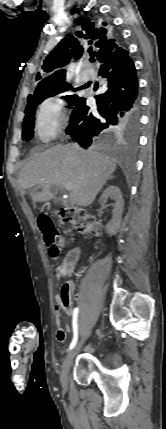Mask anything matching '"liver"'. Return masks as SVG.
Returning <instances> with one entry per match:
<instances>
[{
  "mask_svg": "<svg viewBox=\"0 0 166 429\" xmlns=\"http://www.w3.org/2000/svg\"><path fill=\"white\" fill-rule=\"evenodd\" d=\"M115 170L114 159L105 154L57 145L35 154L24 164L18 187L21 193L34 186L41 187V192H30V196L33 202H45L54 197L53 185L70 182V203L86 207L95 200Z\"/></svg>",
  "mask_w": 166,
  "mask_h": 429,
  "instance_id": "1",
  "label": "liver"
}]
</instances>
